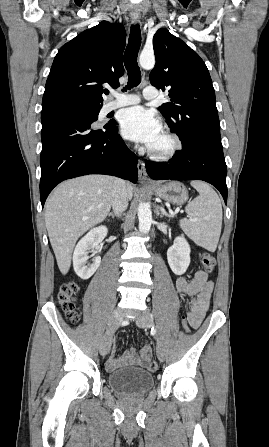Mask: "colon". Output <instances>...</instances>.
Segmentation results:
<instances>
[{"label":"colon","instance_id":"5ec220e1","mask_svg":"<svg viewBox=\"0 0 269 447\" xmlns=\"http://www.w3.org/2000/svg\"><path fill=\"white\" fill-rule=\"evenodd\" d=\"M200 258V264L202 268L208 272L211 273L215 269V258L214 256L209 252H201L199 255ZM79 291V285L72 282L63 285L57 294L58 301L60 304L61 309L63 312L68 316L71 323L76 324L80 321V315L77 310L76 302H75V296ZM180 323L182 326H184V330L186 334L191 335L193 332L189 329V320L186 318L185 315L181 316ZM152 350L150 347H144L142 349V354L145 356L151 355ZM144 368L147 371L154 372L157 370V364L155 362H147L144 364Z\"/></svg>","mask_w":269,"mask_h":447}]
</instances>
